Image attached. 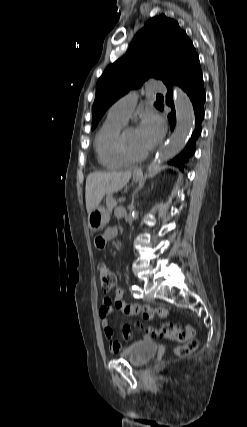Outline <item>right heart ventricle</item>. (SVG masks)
I'll use <instances>...</instances> for the list:
<instances>
[{"label": "right heart ventricle", "mask_w": 247, "mask_h": 427, "mask_svg": "<svg viewBox=\"0 0 247 427\" xmlns=\"http://www.w3.org/2000/svg\"><path fill=\"white\" fill-rule=\"evenodd\" d=\"M126 121L107 116L94 139V149L98 163L106 169H118L128 164L119 154L118 135Z\"/></svg>", "instance_id": "e07e8e85"}]
</instances>
